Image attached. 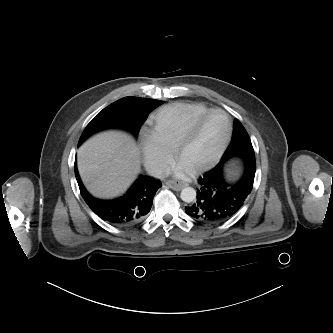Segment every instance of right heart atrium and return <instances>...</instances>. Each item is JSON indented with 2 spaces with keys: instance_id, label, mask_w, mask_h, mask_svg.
Listing matches in <instances>:
<instances>
[{
  "instance_id": "right-heart-atrium-1",
  "label": "right heart atrium",
  "mask_w": 333,
  "mask_h": 333,
  "mask_svg": "<svg viewBox=\"0 0 333 333\" xmlns=\"http://www.w3.org/2000/svg\"><path fill=\"white\" fill-rule=\"evenodd\" d=\"M141 150L147 169L155 176L164 174L172 161V149L151 130L142 134Z\"/></svg>"
}]
</instances>
